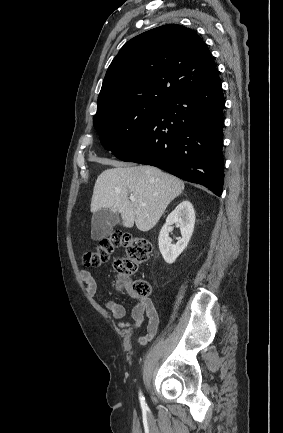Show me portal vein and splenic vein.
I'll use <instances>...</instances> for the list:
<instances>
[{"label": "portal vein and splenic vein", "mask_w": 283, "mask_h": 433, "mask_svg": "<svg viewBox=\"0 0 283 433\" xmlns=\"http://www.w3.org/2000/svg\"><path fill=\"white\" fill-rule=\"evenodd\" d=\"M129 198H130V200H133V202H134V200H135L134 196H129ZM142 204H144V202H142Z\"/></svg>", "instance_id": "portal-vein-and-splenic-vein-1"}]
</instances>
